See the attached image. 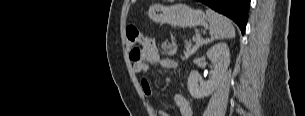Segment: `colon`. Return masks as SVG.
<instances>
[{
    "mask_svg": "<svg viewBox=\"0 0 305 116\" xmlns=\"http://www.w3.org/2000/svg\"><path fill=\"white\" fill-rule=\"evenodd\" d=\"M149 42V38L143 35L136 26L129 25L126 29V44L130 50V56L137 57L138 49L135 48V45L146 44Z\"/></svg>",
    "mask_w": 305,
    "mask_h": 116,
    "instance_id": "5ec220e1",
    "label": "colon"
}]
</instances>
